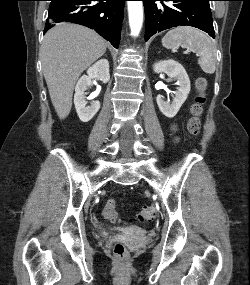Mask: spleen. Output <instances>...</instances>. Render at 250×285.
<instances>
[{
  "label": "spleen",
  "mask_w": 250,
  "mask_h": 285,
  "mask_svg": "<svg viewBox=\"0 0 250 285\" xmlns=\"http://www.w3.org/2000/svg\"><path fill=\"white\" fill-rule=\"evenodd\" d=\"M162 45L167 49L182 47L200 55L198 64L206 74H213L216 69V46L203 31L193 27H177L166 33Z\"/></svg>",
  "instance_id": "spleen-1"
}]
</instances>
